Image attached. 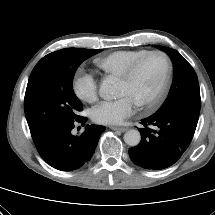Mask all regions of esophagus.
<instances>
[{
    "instance_id": "1",
    "label": "esophagus",
    "mask_w": 215,
    "mask_h": 215,
    "mask_svg": "<svg viewBox=\"0 0 215 215\" xmlns=\"http://www.w3.org/2000/svg\"><path fill=\"white\" fill-rule=\"evenodd\" d=\"M111 129L114 130V131H120V132L127 131L126 127H115V126H113V127H111Z\"/></svg>"
}]
</instances>
